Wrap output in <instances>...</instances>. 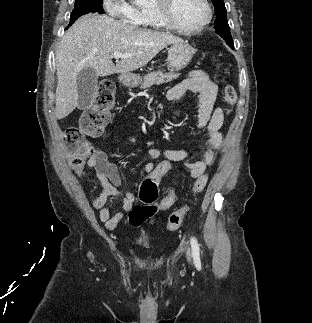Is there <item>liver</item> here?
Listing matches in <instances>:
<instances>
[{
  "label": "liver",
  "instance_id": "obj_1",
  "mask_svg": "<svg viewBox=\"0 0 312 323\" xmlns=\"http://www.w3.org/2000/svg\"><path fill=\"white\" fill-rule=\"evenodd\" d=\"M181 38L165 32L140 30L110 16L86 14L81 16L62 36L56 50L55 116L62 120L78 106L77 76L85 68H94L97 76L127 74L146 66L168 44ZM113 52L132 54L121 58L114 66Z\"/></svg>",
  "mask_w": 312,
  "mask_h": 323
}]
</instances>
